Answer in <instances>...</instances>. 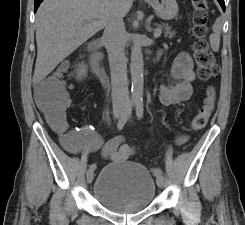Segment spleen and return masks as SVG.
<instances>
[{"label":"spleen","instance_id":"1","mask_svg":"<svg viewBox=\"0 0 245 225\" xmlns=\"http://www.w3.org/2000/svg\"><path fill=\"white\" fill-rule=\"evenodd\" d=\"M213 33L210 35V44L213 51L217 52L219 50L220 45V34L222 31V21L218 18L213 27Z\"/></svg>","mask_w":245,"mask_h":225}]
</instances>
